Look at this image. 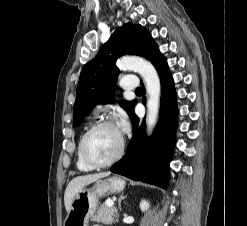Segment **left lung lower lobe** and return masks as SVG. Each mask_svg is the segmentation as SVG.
Masks as SVG:
<instances>
[{
    "instance_id": "0a47b994",
    "label": "left lung lower lobe",
    "mask_w": 247,
    "mask_h": 226,
    "mask_svg": "<svg viewBox=\"0 0 247 226\" xmlns=\"http://www.w3.org/2000/svg\"><path fill=\"white\" fill-rule=\"evenodd\" d=\"M151 62L161 80L159 122L152 137L147 138L145 124L138 126L139 119L133 110L130 118L134 134L128 145V151L119 162L111 167V171L132 180L167 188L169 162L175 145L178 124L176 92L166 59L160 51ZM143 103L145 104V99Z\"/></svg>"
}]
</instances>
